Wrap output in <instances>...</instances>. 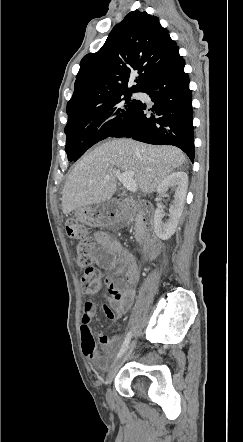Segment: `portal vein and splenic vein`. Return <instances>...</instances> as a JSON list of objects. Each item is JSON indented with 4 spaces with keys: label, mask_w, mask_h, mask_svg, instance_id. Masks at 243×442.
Segmentation results:
<instances>
[{
    "label": "portal vein and splenic vein",
    "mask_w": 243,
    "mask_h": 442,
    "mask_svg": "<svg viewBox=\"0 0 243 442\" xmlns=\"http://www.w3.org/2000/svg\"><path fill=\"white\" fill-rule=\"evenodd\" d=\"M114 173L117 179L123 184L125 188H127L131 192H135L137 190V185L133 179L134 172L125 171L121 173L119 169H114Z\"/></svg>",
    "instance_id": "18ae733b"
}]
</instances>
